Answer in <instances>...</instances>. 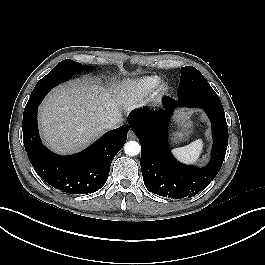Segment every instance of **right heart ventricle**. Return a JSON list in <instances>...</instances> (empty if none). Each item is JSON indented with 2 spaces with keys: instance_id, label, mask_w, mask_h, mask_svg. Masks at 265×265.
I'll return each mask as SVG.
<instances>
[{
  "instance_id": "e07e8e85",
  "label": "right heart ventricle",
  "mask_w": 265,
  "mask_h": 265,
  "mask_svg": "<svg viewBox=\"0 0 265 265\" xmlns=\"http://www.w3.org/2000/svg\"><path fill=\"white\" fill-rule=\"evenodd\" d=\"M157 83V77H145L129 83L121 94L122 104L126 108L134 107L144 95L157 85Z\"/></svg>"
}]
</instances>
